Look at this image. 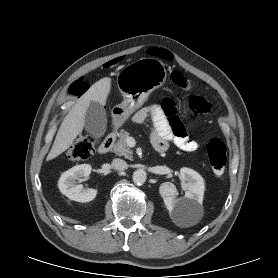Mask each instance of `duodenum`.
Returning a JSON list of instances; mask_svg holds the SVG:
<instances>
[{"label":"duodenum","mask_w":278,"mask_h":278,"mask_svg":"<svg viewBox=\"0 0 278 278\" xmlns=\"http://www.w3.org/2000/svg\"><path fill=\"white\" fill-rule=\"evenodd\" d=\"M116 139V130H113L109 133L106 138L102 141V143L98 147V152L100 154H106L113 148Z\"/></svg>","instance_id":"duodenum-1"}]
</instances>
